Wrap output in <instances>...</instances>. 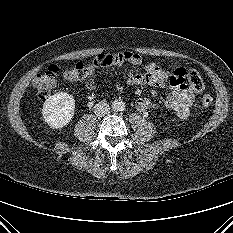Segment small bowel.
Listing matches in <instances>:
<instances>
[{"instance_id": "c3829d8e", "label": "small bowel", "mask_w": 233, "mask_h": 233, "mask_svg": "<svg viewBox=\"0 0 233 233\" xmlns=\"http://www.w3.org/2000/svg\"><path fill=\"white\" fill-rule=\"evenodd\" d=\"M110 62L106 66H124L126 64L139 67L143 63L140 55L124 51L116 54H107ZM186 70L177 68L168 70L162 68L155 62L146 64L141 71L130 72L127 77L129 85H152L159 88H167L168 94L165 105L174 110L180 117L186 118L193 103L194 90L186 82ZM86 87L94 88L91 79L86 81ZM151 107V100L147 97H140L136 101V108L140 111H147Z\"/></svg>"}]
</instances>
